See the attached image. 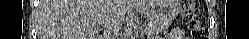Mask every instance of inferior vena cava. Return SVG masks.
Wrapping results in <instances>:
<instances>
[{
    "label": "inferior vena cava",
    "mask_w": 249,
    "mask_h": 39,
    "mask_svg": "<svg viewBox=\"0 0 249 39\" xmlns=\"http://www.w3.org/2000/svg\"><path fill=\"white\" fill-rule=\"evenodd\" d=\"M119 25L113 23L111 26L107 27V30L104 35V39H116Z\"/></svg>",
    "instance_id": "inferior-vena-cava-1"
}]
</instances>
